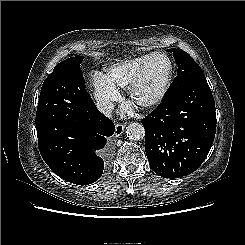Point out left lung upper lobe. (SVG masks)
<instances>
[{
    "instance_id": "1",
    "label": "left lung upper lobe",
    "mask_w": 245,
    "mask_h": 245,
    "mask_svg": "<svg viewBox=\"0 0 245 245\" xmlns=\"http://www.w3.org/2000/svg\"><path fill=\"white\" fill-rule=\"evenodd\" d=\"M167 52L173 53L178 65V72L166 96L173 95L195 83L206 81L201 67L187 52L182 49H168Z\"/></svg>"
}]
</instances>
